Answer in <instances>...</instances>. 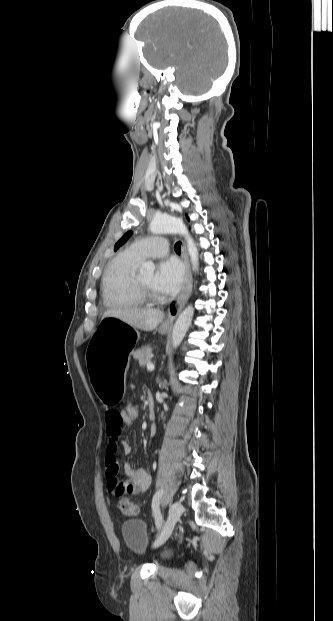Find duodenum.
I'll use <instances>...</instances> for the list:
<instances>
[{
	"mask_svg": "<svg viewBox=\"0 0 333 621\" xmlns=\"http://www.w3.org/2000/svg\"><path fill=\"white\" fill-rule=\"evenodd\" d=\"M148 401H149V418L154 419L155 410H154L153 398L151 394L148 395Z\"/></svg>",
	"mask_w": 333,
	"mask_h": 621,
	"instance_id": "410a0bca",
	"label": "duodenum"
}]
</instances>
